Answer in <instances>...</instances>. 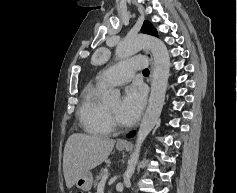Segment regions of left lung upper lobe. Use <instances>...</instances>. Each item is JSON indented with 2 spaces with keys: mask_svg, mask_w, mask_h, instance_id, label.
Returning <instances> with one entry per match:
<instances>
[{
  "mask_svg": "<svg viewBox=\"0 0 237 193\" xmlns=\"http://www.w3.org/2000/svg\"><path fill=\"white\" fill-rule=\"evenodd\" d=\"M141 31L146 34L158 36L156 29L149 21H144Z\"/></svg>",
  "mask_w": 237,
  "mask_h": 193,
  "instance_id": "1",
  "label": "left lung upper lobe"
}]
</instances>
